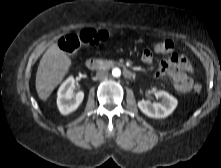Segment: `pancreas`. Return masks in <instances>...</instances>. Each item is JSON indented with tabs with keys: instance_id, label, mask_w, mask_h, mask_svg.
<instances>
[{
	"instance_id": "pancreas-1",
	"label": "pancreas",
	"mask_w": 221,
	"mask_h": 168,
	"mask_svg": "<svg viewBox=\"0 0 221 168\" xmlns=\"http://www.w3.org/2000/svg\"><path fill=\"white\" fill-rule=\"evenodd\" d=\"M99 64L101 67L109 68L115 65V62L112 60H99Z\"/></svg>"
}]
</instances>
